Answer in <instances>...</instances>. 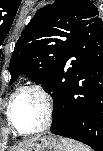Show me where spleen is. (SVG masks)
I'll use <instances>...</instances> for the list:
<instances>
[{"instance_id": "3e777b00", "label": "spleen", "mask_w": 103, "mask_h": 151, "mask_svg": "<svg viewBox=\"0 0 103 151\" xmlns=\"http://www.w3.org/2000/svg\"><path fill=\"white\" fill-rule=\"evenodd\" d=\"M65 151H92L88 146L69 138H60Z\"/></svg>"}]
</instances>
